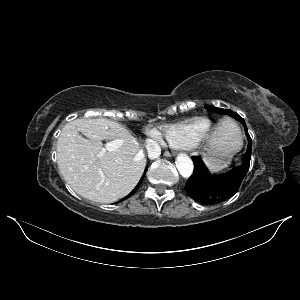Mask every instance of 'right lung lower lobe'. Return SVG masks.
Returning a JSON list of instances; mask_svg holds the SVG:
<instances>
[{
	"instance_id": "98d812e1",
	"label": "right lung lower lobe",
	"mask_w": 300,
	"mask_h": 300,
	"mask_svg": "<svg viewBox=\"0 0 300 300\" xmlns=\"http://www.w3.org/2000/svg\"><path fill=\"white\" fill-rule=\"evenodd\" d=\"M146 171H147V168L145 169V172H144L142 178L140 179L139 183L137 184V186H136V187L134 188V190H133L128 196H126L124 199H126L127 197H130L131 195H133V194L137 191V189L139 188L140 184H141L142 181H143V177H144ZM124 199H123V200H124Z\"/></svg>"
}]
</instances>
